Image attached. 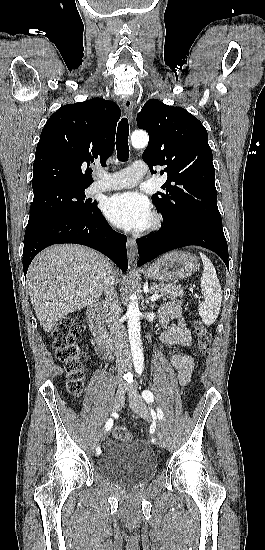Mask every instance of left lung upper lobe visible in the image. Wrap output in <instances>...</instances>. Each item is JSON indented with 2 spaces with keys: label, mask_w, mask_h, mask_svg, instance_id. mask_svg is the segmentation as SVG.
Returning a JSON list of instances; mask_svg holds the SVG:
<instances>
[{
  "label": "left lung upper lobe",
  "mask_w": 265,
  "mask_h": 550,
  "mask_svg": "<svg viewBox=\"0 0 265 550\" xmlns=\"http://www.w3.org/2000/svg\"><path fill=\"white\" fill-rule=\"evenodd\" d=\"M137 125L149 134L142 158L149 165L164 166L165 191L152 196L163 223L193 216L222 224L217 207L215 169L208 134L202 123L181 107L148 100L137 114Z\"/></svg>",
  "instance_id": "left-lung-upper-lobe-1"
}]
</instances>
